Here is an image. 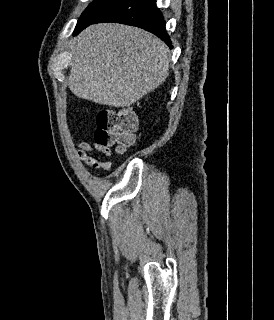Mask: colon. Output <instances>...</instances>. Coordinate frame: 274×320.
I'll return each instance as SVG.
<instances>
[{"instance_id":"1","label":"colon","mask_w":274,"mask_h":320,"mask_svg":"<svg viewBox=\"0 0 274 320\" xmlns=\"http://www.w3.org/2000/svg\"><path fill=\"white\" fill-rule=\"evenodd\" d=\"M95 124L94 143H104L105 149L115 141L118 152L124 153L136 140L138 117L130 108H102L95 115Z\"/></svg>"}]
</instances>
